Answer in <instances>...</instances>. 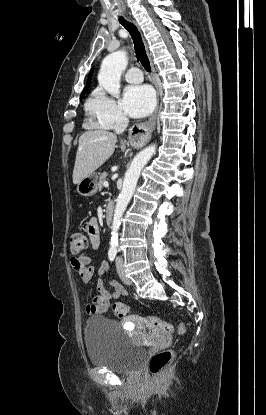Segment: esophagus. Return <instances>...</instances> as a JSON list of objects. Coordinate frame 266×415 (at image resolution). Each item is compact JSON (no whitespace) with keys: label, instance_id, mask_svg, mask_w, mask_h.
Segmentation results:
<instances>
[{"label":"esophagus","instance_id":"1","mask_svg":"<svg viewBox=\"0 0 266 415\" xmlns=\"http://www.w3.org/2000/svg\"><path fill=\"white\" fill-rule=\"evenodd\" d=\"M131 22L137 26V23L135 22L134 19H131ZM145 46H146V51L151 62L153 83L157 91V105H156V108L153 114L151 115L148 121L144 123L136 124L132 126V128L130 129L129 141L131 145L133 146H142L149 141V139L151 138L152 132L154 131L155 126H156V117H157L158 108H159V86L155 78V68H154V64L151 59V54L148 51L146 43H145Z\"/></svg>","mask_w":266,"mask_h":415}]
</instances>
